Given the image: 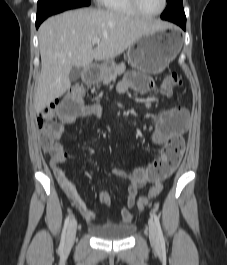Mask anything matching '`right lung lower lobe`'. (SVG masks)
<instances>
[{"label": "right lung lower lobe", "instance_id": "right-lung-lower-lobe-1", "mask_svg": "<svg viewBox=\"0 0 227 265\" xmlns=\"http://www.w3.org/2000/svg\"><path fill=\"white\" fill-rule=\"evenodd\" d=\"M41 22L36 21V27L38 28V26L40 25Z\"/></svg>", "mask_w": 227, "mask_h": 265}]
</instances>
